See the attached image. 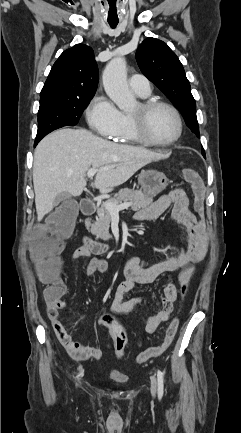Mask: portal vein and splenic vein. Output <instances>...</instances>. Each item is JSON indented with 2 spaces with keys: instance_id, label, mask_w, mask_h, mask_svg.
Returning a JSON list of instances; mask_svg holds the SVG:
<instances>
[{
  "instance_id": "portal-vein-and-splenic-vein-1",
  "label": "portal vein and splenic vein",
  "mask_w": 241,
  "mask_h": 433,
  "mask_svg": "<svg viewBox=\"0 0 241 433\" xmlns=\"http://www.w3.org/2000/svg\"><path fill=\"white\" fill-rule=\"evenodd\" d=\"M97 172H98L97 169L90 168L87 172V177L92 178ZM104 205H105L106 209L110 212L111 215H118L119 211L127 209L128 207H130L131 203L125 202V203H122L120 205H116V204H113L110 202H105Z\"/></svg>"
}]
</instances>
